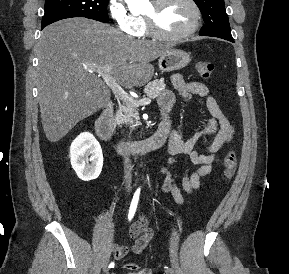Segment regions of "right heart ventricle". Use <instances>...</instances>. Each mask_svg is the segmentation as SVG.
Listing matches in <instances>:
<instances>
[{
	"mask_svg": "<svg viewBox=\"0 0 289 274\" xmlns=\"http://www.w3.org/2000/svg\"><path fill=\"white\" fill-rule=\"evenodd\" d=\"M138 22H139V31L137 33L138 36H146L149 34L147 25H146V21L144 19V17L139 16L137 17Z\"/></svg>",
	"mask_w": 289,
	"mask_h": 274,
	"instance_id": "e07e8e85",
	"label": "right heart ventricle"
}]
</instances>
